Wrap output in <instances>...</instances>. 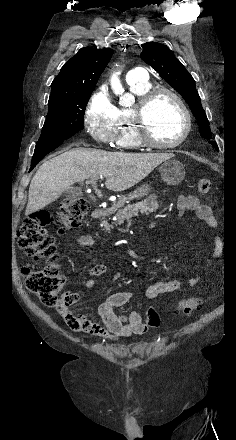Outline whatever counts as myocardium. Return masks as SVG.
Wrapping results in <instances>:
<instances>
[{"label": "myocardium", "mask_w": 236, "mask_h": 440, "mask_svg": "<svg viewBox=\"0 0 236 440\" xmlns=\"http://www.w3.org/2000/svg\"><path fill=\"white\" fill-rule=\"evenodd\" d=\"M171 96L179 105L185 121L182 135L176 141L170 143H159L153 139L149 129L148 112L153 102L161 95ZM132 121L134 131L141 145L153 149H172L180 146L188 138L192 128V118L188 106L183 98L173 89L168 87H155L141 96L137 105L132 110Z\"/></svg>", "instance_id": "obj_1"}]
</instances>
